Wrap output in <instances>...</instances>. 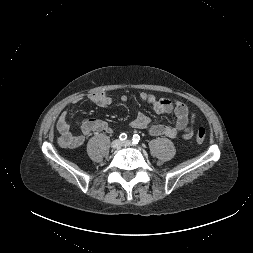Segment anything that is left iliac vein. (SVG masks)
<instances>
[{
	"mask_svg": "<svg viewBox=\"0 0 253 253\" xmlns=\"http://www.w3.org/2000/svg\"><path fill=\"white\" fill-rule=\"evenodd\" d=\"M131 145H132V143L129 140L121 142V146H124V147H129Z\"/></svg>",
	"mask_w": 253,
	"mask_h": 253,
	"instance_id": "4c4485c4",
	"label": "left iliac vein"
}]
</instances>
